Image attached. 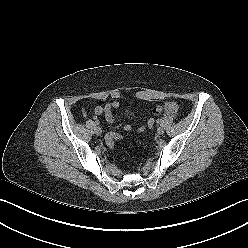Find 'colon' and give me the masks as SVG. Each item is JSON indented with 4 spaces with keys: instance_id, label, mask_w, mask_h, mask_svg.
Masks as SVG:
<instances>
[{
    "instance_id": "1",
    "label": "colon",
    "mask_w": 248,
    "mask_h": 248,
    "mask_svg": "<svg viewBox=\"0 0 248 248\" xmlns=\"http://www.w3.org/2000/svg\"><path fill=\"white\" fill-rule=\"evenodd\" d=\"M155 125V120L153 118H149L147 120V126L148 128H153ZM122 136L119 134V133H110L107 138H106V144L109 146V147H113L114 145V142L115 141H118V140H121Z\"/></svg>"
}]
</instances>
